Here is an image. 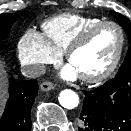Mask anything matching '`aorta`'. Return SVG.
Here are the masks:
<instances>
[{
  "label": "aorta",
  "instance_id": "aorta-1",
  "mask_svg": "<svg viewBox=\"0 0 131 131\" xmlns=\"http://www.w3.org/2000/svg\"><path fill=\"white\" fill-rule=\"evenodd\" d=\"M58 100L60 105L68 110L76 108L79 104V97L77 93L70 89L61 91Z\"/></svg>",
  "mask_w": 131,
  "mask_h": 131
}]
</instances>
